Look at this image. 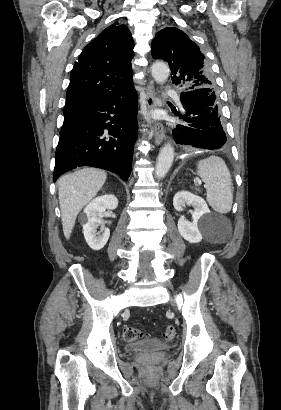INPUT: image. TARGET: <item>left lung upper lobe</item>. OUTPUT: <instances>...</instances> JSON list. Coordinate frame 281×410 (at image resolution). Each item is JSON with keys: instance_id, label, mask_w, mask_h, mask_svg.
<instances>
[{"instance_id": "obj_1", "label": "left lung upper lobe", "mask_w": 281, "mask_h": 410, "mask_svg": "<svg viewBox=\"0 0 281 410\" xmlns=\"http://www.w3.org/2000/svg\"><path fill=\"white\" fill-rule=\"evenodd\" d=\"M152 56L168 62L172 81L184 91L215 86L212 70L199 47L181 30L166 27L156 33Z\"/></svg>"}]
</instances>
